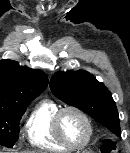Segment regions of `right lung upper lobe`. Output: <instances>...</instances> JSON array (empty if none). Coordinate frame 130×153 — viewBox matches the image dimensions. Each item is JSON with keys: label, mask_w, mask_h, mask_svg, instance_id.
Returning a JSON list of instances; mask_svg holds the SVG:
<instances>
[{"label": "right lung upper lobe", "mask_w": 130, "mask_h": 153, "mask_svg": "<svg viewBox=\"0 0 130 153\" xmlns=\"http://www.w3.org/2000/svg\"><path fill=\"white\" fill-rule=\"evenodd\" d=\"M47 85L45 73L20 66L14 60L0 61V106L30 103Z\"/></svg>", "instance_id": "1"}]
</instances>
